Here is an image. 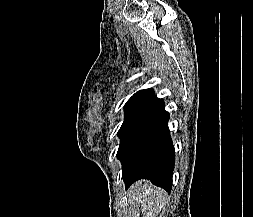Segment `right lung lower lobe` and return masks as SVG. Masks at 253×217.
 Masks as SVG:
<instances>
[{"label": "right lung lower lobe", "instance_id": "right-lung-lower-lobe-1", "mask_svg": "<svg viewBox=\"0 0 253 217\" xmlns=\"http://www.w3.org/2000/svg\"><path fill=\"white\" fill-rule=\"evenodd\" d=\"M163 99L154 101L121 140L117 157L122 162L126 188L139 179L171 190L175 151Z\"/></svg>", "mask_w": 253, "mask_h": 217}]
</instances>
